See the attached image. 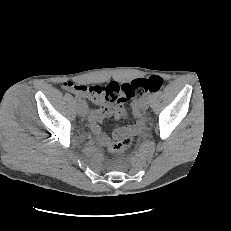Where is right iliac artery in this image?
I'll return each instance as SVG.
<instances>
[{
	"label": "right iliac artery",
	"mask_w": 231,
	"mask_h": 231,
	"mask_svg": "<svg viewBox=\"0 0 231 231\" xmlns=\"http://www.w3.org/2000/svg\"><path fill=\"white\" fill-rule=\"evenodd\" d=\"M75 99H76V101L79 102V103L82 102V99H81L80 96H76Z\"/></svg>",
	"instance_id": "obj_1"
}]
</instances>
